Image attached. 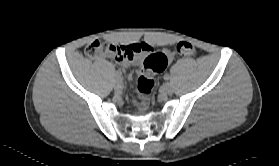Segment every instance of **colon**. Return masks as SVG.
Segmentation results:
<instances>
[{"instance_id":"5ec220e1","label":"colon","mask_w":279,"mask_h":166,"mask_svg":"<svg viewBox=\"0 0 279 166\" xmlns=\"http://www.w3.org/2000/svg\"><path fill=\"white\" fill-rule=\"evenodd\" d=\"M142 47L139 45H117L109 44L100 41H94L85 48V54L89 58H98L105 54H112L118 58H130L139 54ZM177 53L183 57H193L196 54L195 46L186 41L179 42L176 46ZM165 58L157 53H149L144 61V72L141 73L137 80V90L140 94L146 96L151 93L154 87L152 75L164 70Z\"/></svg>"}]
</instances>
